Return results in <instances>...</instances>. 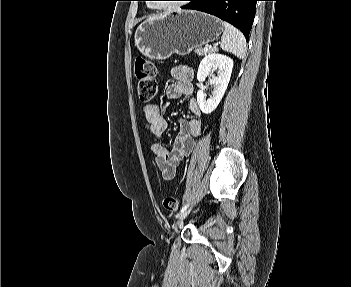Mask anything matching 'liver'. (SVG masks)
I'll list each match as a JSON object with an SVG mask.
<instances>
[{
  "label": "liver",
  "mask_w": 351,
  "mask_h": 287,
  "mask_svg": "<svg viewBox=\"0 0 351 287\" xmlns=\"http://www.w3.org/2000/svg\"><path fill=\"white\" fill-rule=\"evenodd\" d=\"M157 17H154V18H152V19H156ZM152 19H150V20H152Z\"/></svg>",
  "instance_id": "6515ba94"
}]
</instances>
